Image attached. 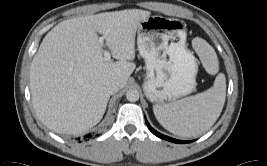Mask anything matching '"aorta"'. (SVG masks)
Segmentation results:
<instances>
[{
  "instance_id": "762f6f07",
  "label": "aorta",
  "mask_w": 267,
  "mask_h": 166,
  "mask_svg": "<svg viewBox=\"0 0 267 166\" xmlns=\"http://www.w3.org/2000/svg\"><path fill=\"white\" fill-rule=\"evenodd\" d=\"M140 94L137 89H129L126 93V98L130 102H136L139 100Z\"/></svg>"
}]
</instances>
